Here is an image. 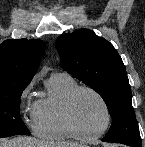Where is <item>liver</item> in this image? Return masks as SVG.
I'll return each mask as SVG.
<instances>
[{"mask_svg": "<svg viewBox=\"0 0 145 147\" xmlns=\"http://www.w3.org/2000/svg\"><path fill=\"white\" fill-rule=\"evenodd\" d=\"M0 147H86L74 142H47L32 137H15L0 142Z\"/></svg>", "mask_w": 145, "mask_h": 147, "instance_id": "obj_1", "label": "liver"}]
</instances>
